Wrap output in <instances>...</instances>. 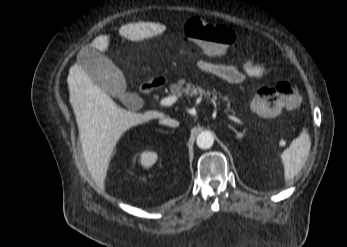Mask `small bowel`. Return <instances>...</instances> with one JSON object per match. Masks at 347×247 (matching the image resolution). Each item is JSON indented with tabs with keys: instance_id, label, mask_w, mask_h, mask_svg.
I'll return each mask as SVG.
<instances>
[{
	"instance_id": "c3829d8e",
	"label": "small bowel",
	"mask_w": 347,
	"mask_h": 247,
	"mask_svg": "<svg viewBox=\"0 0 347 247\" xmlns=\"http://www.w3.org/2000/svg\"><path fill=\"white\" fill-rule=\"evenodd\" d=\"M197 66L203 73L219 77L230 84H240L247 78H258L262 74V66L255 58L245 62L243 71L230 64L208 60H200Z\"/></svg>"
}]
</instances>
